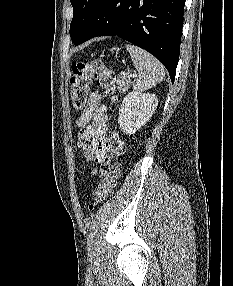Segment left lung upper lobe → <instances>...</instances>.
Returning <instances> with one entry per match:
<instances>
[{"mask_svg": "<svg viewBox=\"0 0 233 286\" xmlns=\"http://www.w3.org/2000/svg\"><path fill=\"white\" fill-rule=\"evenodd\" d=\"M104 0H71L73 19L70 25V36L75 42L85 31Z\"/></svg>", "mask_w": 233, "mask_h": 286, "instance_id": "5c2ea615", "label": "left lung upper lobe"}]
</instances>
